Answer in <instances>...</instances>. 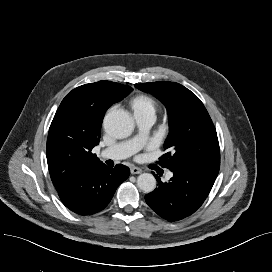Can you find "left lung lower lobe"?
Here are the masks:
<instances>
[{
  "instance_id": "0a47b994",
  "label": "left lung lower lobe",
  "mask_w": 272,
  "mask_h": 272,
  "mask_svg": "<svg viewBox=\"0 0 272 272\" xmlns=\"http://www.w3.org/2000/svg\"><path fill=\"white\" fill-rule=\"evenodd\" d=\"M169 182L158 181V187L145 196L147 204L162 218L173 222L193 214L205 201L217 178L215 170L199 167L171 170Z\"/></svg>"
}]
</instances>
